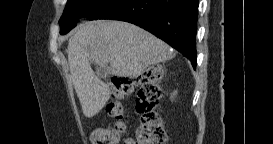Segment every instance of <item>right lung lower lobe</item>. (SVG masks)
Instances as JSON below:
<instances>
[{"label":"right lung lower lobe","mask_w":273,"mask_h":144,"mask_svg":"<svg viewBox=\"0 0 273 144\" xmlns=\"http://www.w3.org/2000/svg\"><path fill=\"white\" fill-rule=\"evenodd\" d=\"M198 0H110L89 20L113 19L136 24L170 44L196 68Z\"/></svg>","instance_id":"1"}]
</instances>
